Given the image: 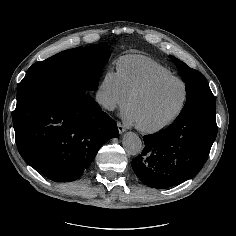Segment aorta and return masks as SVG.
Here are the masks:
<instances>
[{
    "label": "aorta",
    "mask_w": 236,
    "mask_h": 236,
    "mask_svg": "<svg viewBox=\"0 0 236 236\" xmlns=\"http://www.w3.org/2000/svg\"><path fill=\"white\" fill-rule=\"evenodd\" d=\"M122 144L125 151L130 155H138L142 151V141L136 133L127 132L124 134Z\"/></svg>",
    "instance_id": "762f6f07"
}]
</instances>
